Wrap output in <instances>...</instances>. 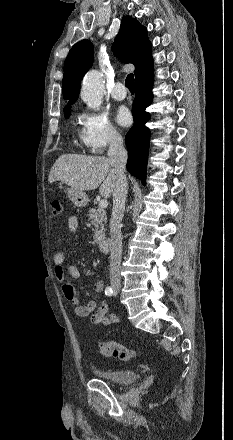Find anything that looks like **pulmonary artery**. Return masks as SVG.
I'll use <instances>...</instances> for the list:
<instances>
[{
	"instance_id": "1",
	"label": "pulmonary artery",
	"mask_w": 233,
	"mask_h": 440,
	"mask_svg": "<svg viewBox=\"0 0 233 440\" xmlns=\"http://www.w3.org/2000/svg\"><path fill=\"white\" fill-rule=\"evenodd\" d=\"M111 96L116 100H123L127 96V92L123 83L116 82L111 90Z\"/></svg>"
}]
</instances>
